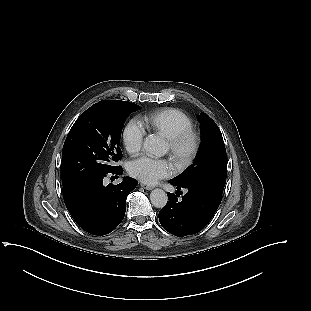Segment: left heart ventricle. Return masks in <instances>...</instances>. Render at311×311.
<instances>
[{"mask_svg": "<svg viewBox=\"0 0 311 311\" xmlns=\"http://www.w3.org/2000/svg\"><path fill=\"white\" fill-rule=\"evenodd\" d=\"M166 150H167V151L169 150L168 144L166 145Z\"/></svg>", "mask_w": 311, "mask_h": 311, "instance_id": "obj_1", "label": "left heart ventricle"}]
</instances>
